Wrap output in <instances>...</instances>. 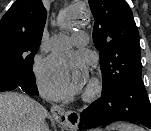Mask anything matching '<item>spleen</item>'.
<instances>
[{
	"label": "spleen",
	"mask_w": 151,
	"mask_h": 131,
	"mask_svg": "<svg viewBox=\"0 0 151 131\" xmlns=\"http://www.w3.org/2000/svg\"><path fill=\"white\" fill-rule=\"evenodd\" d=\"M107 131H143L142 128L132 125V124H126V123H116L111 124L106 127Z\"/></svg>",
	"instance_id": "1"
}]
</instances>
